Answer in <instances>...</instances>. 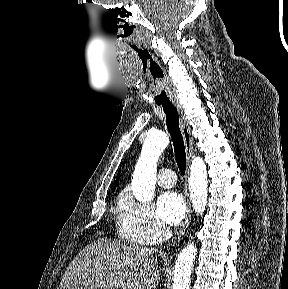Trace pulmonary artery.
I'll return each mask as SVG.
<instances>
[{
    "instance_id": "obj_1",
    "label": "pulmonary artery",
    "mask_w": 288,
    "mask_h": 289,
    "mask_svg": "<svg viewBox=\"0 0 288 289\" xmlns=\"http://www.w3.org/2000/svg\"><path fill=\"white\" fill-rule=\"evenodd\" d=\"M157 182L161 187H172L176 183V175L171 169H161L158 173Z\"/></svg>"
}]
</instances>
